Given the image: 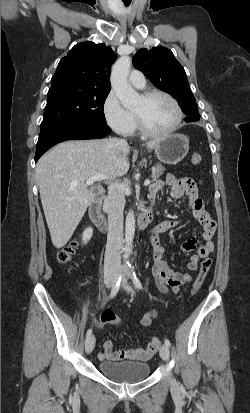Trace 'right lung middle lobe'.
<instances>
[{"instance_id": "obj_1", "label": "right lung middle lobe", "mask_w": 250, "mask_h": 413, "mask_svg": "<svg viewBox=\"0 0 250 413\" xmlns=\"http://www.w3.org/2000/svg\"><path fill=\"white\" fill-rule=\"evenodd\" d=\"M108 94V90L86 89L77 85L50 89L40 135L70 123L107 125L103 106Z\"/></svg>"}]
</instances>
